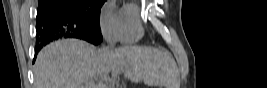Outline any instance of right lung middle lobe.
I'll use <instances>...</instances> for the list:
<instances>
[{
  "label": "right lung middle lobe",
  "instance_id": "obj_1",
  "mask_svg": "<svg viewBox=\"0 0 267 88\" xmlns=\"http://www.w3.org/2000/svg\"><path fill=\"white\" fill-rule=\"evenodd\" d=\"M106 0H39V8L56 11L101 33L100 10Z\"/></svg>",
  "mask_w": 267,
  "mask_h": 88
}]
</instances>
